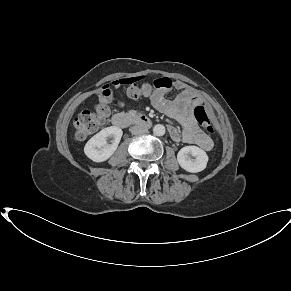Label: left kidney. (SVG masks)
I'll list each match as a JSON object with an SVG mask.
<instances>
[{
  "instance_id": "5707ae66",
  "label": "left kidney",
  "mask_w": 291,
  "mask_h": 291,
  "mask_svg": "<svg viewBox=\"0 0 291 291\" xmlns=\"http://www.w3.org/2000/svg\"><path fill=\"white\" fill-rule=\"evenodd\" d=\"M177 161L187 172L198 173L206 168L208 156L197 146H185L178 152Z\"/></svg>"
}]
</instances>
